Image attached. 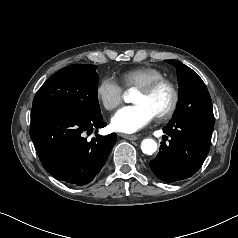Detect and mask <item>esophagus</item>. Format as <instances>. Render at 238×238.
<instances>
[{
    "instance_id": "esophagus-1",
    "label": "esophagus",
    "mask_w": 238,
    "mask_h": 238,
    "mask_svg": "<svg viewBox=\"0 0 238 238\" xmlns=\"http://www.w3.org/2000/svg\"><path fill=\"white\" fill-rule=\"evenodd\" d=\"M121 137L128 139V140H137L138 137L136 135H129V134H120Z\"/></svg>"
}]
</instances>
